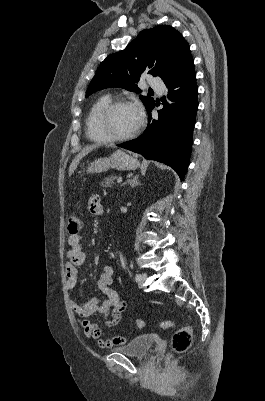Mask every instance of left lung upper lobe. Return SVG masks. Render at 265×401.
<instances>
[{"label": "left lung upper lobe", "instance_id": "left-lung-upper-lobe-1", "mask_svg": "<svg viewBox=\"0 0 265 401\" xmlns=\"http://www.w3.org/2000/svg\"><path fill=\"white\" fill-rule=\"evenodd\" d=\"M190 56L188 43L173 27L158 25L143 30L124 50L109 55L100 64L86 97L108 87L140 93L135 83L143 73L159 76L166 82ZM140 99L147 110L154 105L150 97L140 96Z\"/></svg>", "mask_w": 265, "mask_h": 401}]
</instances>
